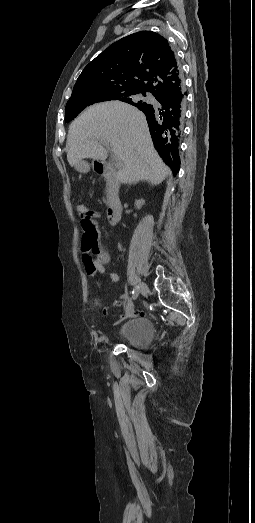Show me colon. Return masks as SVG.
I'll list each match as a JSON object with an SVG mask.
<instances>
[{
    "instance_id": "colon-1",
    "label": "colon",
    "mask_w": 255,
    "mask_h": 523,
    "mask_svg": "<svg viewBox=\"0 0 255 523\" xmlns=\"http://www.w3.org/2000/svg\"><path fill=\"white\" fill-rule=\"evenodd\" d=\"M76 211L77 214L81 220V222H88L91 220V211L87 204L85 203H78L76 205Z\"/></svg>"
}]
</instances>
